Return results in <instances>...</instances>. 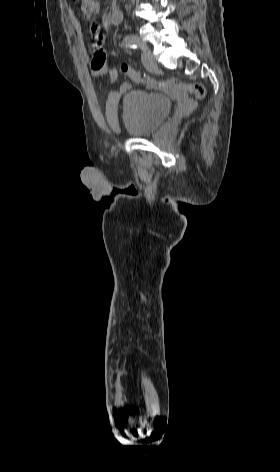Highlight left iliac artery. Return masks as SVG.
I'll use <instances>...</instances> for the list:
<instances>
[{"mask_svg": "<svg viewBox=\"0 0 280 472\" xmlns=\"http://www.w3.org/2000/svg\"><path fill=\"white\" fill-rule=\"evenodd\" d=\"M122 44L126 48H134V49L137 48V47H142L143 46L141 41L139 40V38L137 36H134V35L126 36L123 39Z\"/></svg>", "mask_w": 280, "mask_h": 472, "instance_id": "1", "label": "left iliac artery"}]
</instances>
